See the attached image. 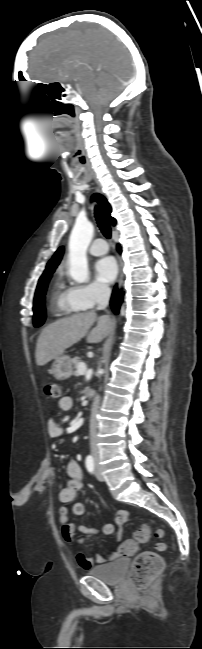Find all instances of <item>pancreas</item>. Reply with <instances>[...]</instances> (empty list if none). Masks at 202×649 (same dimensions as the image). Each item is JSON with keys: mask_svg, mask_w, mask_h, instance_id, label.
<instances>
[{"mask_svg": "<svg viewBox=\"0 0 202 649\" xmlns=\"http://www.w3.org/2000/svg\"><path fill=\"white\" fill-rule=\"evenodd\" d=\"M80 363H81L80 360L75 359V361H74V368H75V370H74V372H73V374H74L75 376H79V375H80L79 372H78V365H79Z\"/></svg>", "mask_w": 202, "mask_h": 649, "instance_id": "obj_1", "label": "pancreas"}]
</instances>
